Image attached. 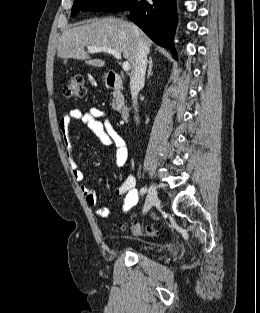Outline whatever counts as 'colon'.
<instances>
[{
	"instance_id": "obj_1",
	"label": "colon",
	"mask_w": 260,
	"mask_h": 313,
	"mask_svg": "<svg viewBox=\"0 0 260 313\" xmlns=\"http://www.w3.org/2000/svg\"><path fill=\"white\" fill-rule=\"evenodd\" d=\"M64 95L68 98H83L86 96V87L82 76H73L64 87ZM131 233L136 236H158L160 228L154 225L141 227L139 224H133L130 227Z\"/></svg>"
}]
</instances>
